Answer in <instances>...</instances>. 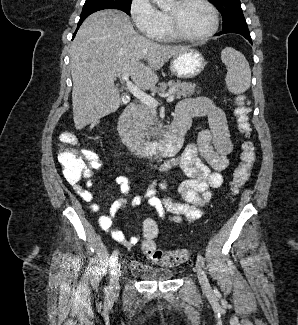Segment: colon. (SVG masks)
Returning a JSON list of instances; mask_svg holds the SVG:
<instances>
[{"label":"colon","mask_w":298,"mask_h":325,"mask_svg":"<svg viewBox=\"0 0 298 325\" xmlns=\"http://www.w3.org/2000/svg\"><path fill=\"white\" fill-rule=\"evenodd\" d=\"M234 115L239 132L246 138L242 143L240 161L234 169L230 183L231 194L235 195L248 181L256 162L255 145L250 139L251 124L249 120V108L244 97H238L235 101ZM63 145L59 148L58 158L63 169V175L68 183L77 185L82 179L90 177L101 166L97 155L91 151L77 150L74 146L76 139L71 134H63ZM158 225L155 220L146 219L143 224V239L141 249L152 261L157 264L173 267L187 260V252L184 250L167 251L157 247L155 239L158 236Z\"/></svg>","instance_id":"obj_1"}]
</instances>
